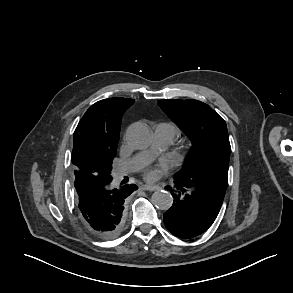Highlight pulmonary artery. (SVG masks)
I'll use <instances>...</instances> for the list:
<instances>
[{"instance_id":"pulmonary-artery-1","label":"pulmonary artery","mask_w":293,"mask_h":293,"mask_svg":"<svg viewBox=\"0 0 293 293\" xmlns=\"http://www.w3.org/2000/svg\"><path fill=\"white\" fill-rule=\"evenodd\" d=\"M175 137L176 132L171 125L167 123L158 124L154 130V142L151 150L128 161L125 166L118 171L117 178H121L129 171L145 165L156 152L169 146L174 141Z\"/></svg>"}]
</instances>
